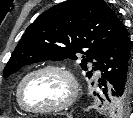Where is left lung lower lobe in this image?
Wrapping results in <instances>:
<instances>
[{
  "label": "left lung lower lobe",
  "mask_w": 133,
  "mask_h": 118,
  "mask_svg": "<svg viewBox=\"0 0 133 118\" xmlns=\"http://www.w3.org/2000/svg\"><path fill=\"white\" fill-rule=\"evenodd\" d=\"M95 70L102 72L99 85L104 86L103 93L114 101L126 93H133V54L130 39L122 25L112 41L103 50ZM109 82V89L107 82Z\"/></svg>",
  "instance_id": "left-lung-lower-lobe-1"
}]
</instances>
